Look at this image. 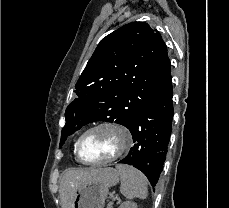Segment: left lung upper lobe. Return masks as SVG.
Here are the masks:
<instances>
[{
  "label": "left lung upper lobe",
  "mask_w": 229,
  "mask_h": 208,
  "mask_svg": "<svg viewBox=\"0 0 229 208\" xmlns=\"http://www.w3.org/2000/svg\"><path fill=\"white\" fill-rule=\"evenodd\" d=\"M171 84L161 35L145 22L120 27L100 41L78 79V98L66 108L59 147L68 135L94 121L128 127Z\"/></svg>",
  "instance_id": "1"
}]
</instances>
